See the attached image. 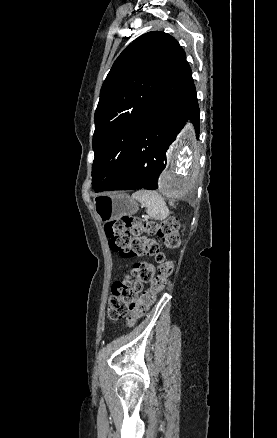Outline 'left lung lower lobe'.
I'll use <instances>...</instances> for the list:
<instances>
[{
	"label": "left lung lower lobe",
	"mask_w": 277,
	"mask_h": 438,
	"mask_svg": "<svg viewBox=\"0 0 277 438\" xmlns=\"http://www.w3.org/2000/svg\"><path fill=\"white\" fill-rule=\"evenodd\" d=\"M187 119L198 128V115L181 111L167 100L150 98L139 118L130 158L119 178L104 191L157 189L159 174L166 167V151Z\"/></svg>",
	"instance_id": "1"
}]
</instances>
